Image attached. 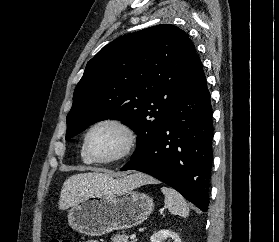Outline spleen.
Here are the masks:
<instances>
[{
	"label": "spleen",
	"mask_w": 279,
	"mask_h": 242,
	"mask_svg": "<svg viewBox=\"0 0 279 242\" xmlns=\"http://www.w3.org/2000/svg\"><path fill=\"white\" fill-rule=\"evenodd\" d=\"M162 193L165 196V205L170 213L178 214L183 217L188 216L189 207L184 197L176 190L170 187H162Z\"/></svg>",
	"instance_id": "3e777b00"
}]
</instances>
